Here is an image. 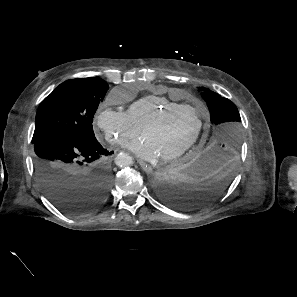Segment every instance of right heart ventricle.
I'll list each match as a JSON object with an SVG mask.
<instances>
[{
    "instance_id": "e07e8e85",
    "label": "right heart ventricle",
    "mask_w": 297,
    "mask_h": 297,
    "mask_svg": "<svg viewBox=\"0 0 297 297\" xmlns=\"http://www.w3.org/2000/svg\"><path fill=\"white\" fill-rule=\"evenodd\" d=\"M181 103L171 101L165 96L160 95H147L140 99L133 101L128 109L127 115L133 124L141 129L142 126L158 111Z\"/></svg>"
}]
</instances>
